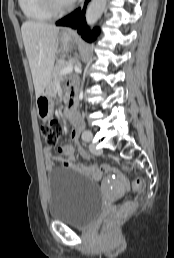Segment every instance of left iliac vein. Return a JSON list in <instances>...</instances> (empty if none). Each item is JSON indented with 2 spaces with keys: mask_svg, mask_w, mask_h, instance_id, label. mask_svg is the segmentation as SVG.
Here are the masks:
<instances>
[{
  "mask_svg": "<svg viewBox=\"0 0 174 258\" xmlns=\"http://www.w3.org/2000/svg\"><path fill=\"white\" fill-rule=\"evenodd\" d=\"M90 151H91V153L94 154V155H100L101 152H102L100 149H97V148H96L95 144H91V145H90Z\"/></svg>",
  "mask_w": 174,
  "mask_h": 258,
  "instance_id": "left-iliac-vein-1",
  "label": "left iliac vein"
}]
</instances>
